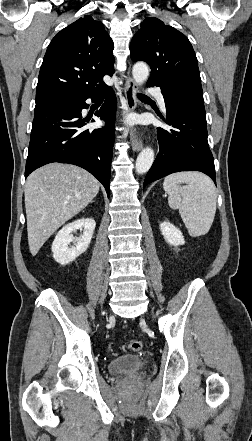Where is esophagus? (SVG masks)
<instances>
[{"mask_svg": "<svg viewBox=\"0 0 252 441\" xmlns=\"http://www.w3.org/2000/svg\"><path fill=\"white\" fill-rule=\"evenodd\" d=\"M138 90L137 84L128 74L127 80L124 86V93L126 97L127 108L129 111H134L137 108L136 92ZM131 146L134 151H140L143 147L142 139L133 130L131 135Z\"/></svg>", "mask_w": 252, "mask_h": 441, "instance_id": "34e87169", "label": "esophagus"}]
</instances>
